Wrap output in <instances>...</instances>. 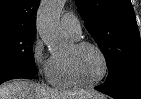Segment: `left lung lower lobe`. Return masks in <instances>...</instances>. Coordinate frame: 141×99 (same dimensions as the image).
I'll return each mask as SVG.
<instances>
[{
    "label": "left lung lower lobe",
    "mask_w": 141,
    "mask_h": 99,
    "mask_svg": "<svg viewBox=\"0 0 141 99\" xmlns=\"http://www.w3.org/2000/svg\"><path fill=\"white\" fill-rule=\"evenodd\" d=\"M95 89L115 99H141V74L125 75Z\"/></svg>",
    "instance_id": "obj_1"
}]
</instances>
